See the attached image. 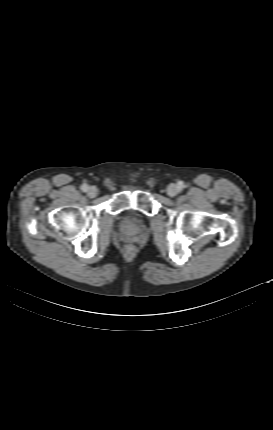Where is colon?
Wrapping results in <instances>:
<instances>
[{"instance_id":"5ec220e1","label":"colon","mask_w":273,"mask_h":430,"mask_svg":"<svg viewBox=\"0 0 273 430\" xmlns=\"http://www.w3.org/2000/svg\"><path fill=\"white\" fill-rule=\"evenodd\" d=\"M125 250L127 253H132L134 251V248L132 245H128V246H126Z\"/></svg>"}]
</instances>
